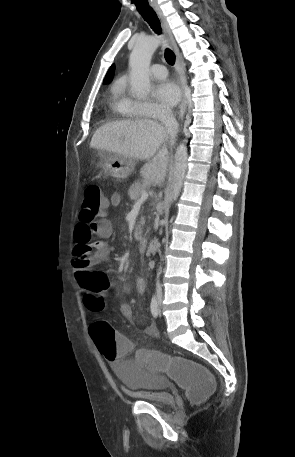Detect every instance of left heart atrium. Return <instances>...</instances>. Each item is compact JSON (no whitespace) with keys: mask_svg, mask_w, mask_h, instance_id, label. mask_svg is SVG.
I'll return each instance as SVG.
<instances>
[{"mask_svg":"<svg viewBox=\"0 0 295 457\" xmlns=\"http://www.w3.org/2000/svg\"><path fill=\"white\" fill-rule=\"evenodd\" d=\"M155 96L160 103L171 107L178 103L180 99V90L176 83L172 81H163L156 86Z\"/></svg>","mask_w":295,"mask_h":457,"instance_id":"obj_1","label":"left heart atrium"}]
</instances>
